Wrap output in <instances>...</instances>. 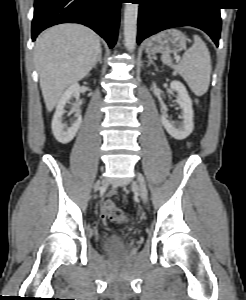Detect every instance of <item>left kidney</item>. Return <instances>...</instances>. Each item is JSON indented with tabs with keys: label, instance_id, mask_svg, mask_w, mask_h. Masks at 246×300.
<instances>
[{
	"label": "left kidney",
	"instance_id": "left-kidney-1",
	"mask_svg": "<svg viewBox=\"0 0 246 300\" xmlns=\"http://www.w3.org/2000/svg\"><path fill=\"white\" fill-rule=\"evenodd\" d=\"M170 87L178 93L177 103L182 109L183 122L177 127L174 122L168 120V117L164 113L161 115V122L166 131L174 139L183 140L192 133L194 128L192 100L188 95L186 87L180 81H172Z\"/></svg>",
	"mask_w": 246,
	"mask_h": 300
}]
</instances>
